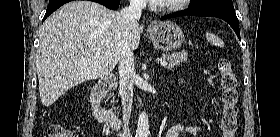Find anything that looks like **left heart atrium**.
<instances>
[{
	"label": "left heart atrium",
	"mask_w": 280,
	"mask_h": 137,
	"mask_svg": "<svg viewBox=\"0 0 280 137\" xmlns=\"http://www.w3.org/2000/svg\"><path fill=\"white\" fill-rule=\"evenodd\" d=\"M161 1L162 0H151L152 3H156V4L160 3Z\"/></svg>",
	"instance_id": "39dd6f15"
}]
</instances>
